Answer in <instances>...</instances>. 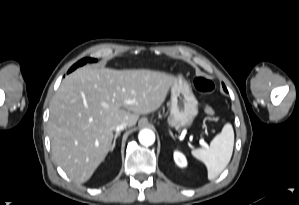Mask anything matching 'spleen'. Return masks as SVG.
Listing matches in <instances>:
<instances>
[{"label": "spleen", "mask_w": 299, "mask_h": 205, "mask_svg": "<svg viewBox=\"0 0 299 205\" xmlns=\"http://www.w3.org/2000/svg\"><path fill=\"white\" fill-rule=\"evenodd\" d=\"M234 146V131L230 123H226L218 135L206 149L192 150V155L202 161L208 171V179L213 180L226 168L230 162Z\"/></svg>", "instance_id": "1"}]
</instances>
